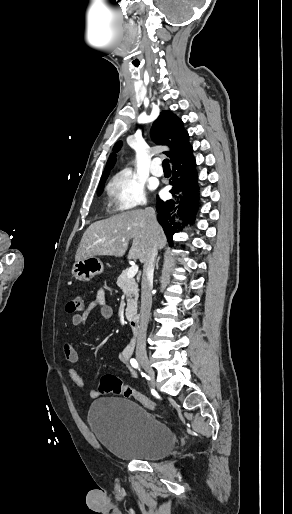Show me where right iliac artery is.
<instances>
[{
	"instance_id": "82829eb1",
	"label": "right iliac artery",
	"mask_w": 292,
	"mask_h": 514,
	"mask_svg": "<svg viewBox=\"0 0 292 514\" xmlns=\"http://www.w3.org/2000/svg\"><path fill=\"white\" fill-rule=\"evenodd\" d=\"M130 364L132 365V367L139 369V364L136 359H134V358L130 359ZM142 376L146 377V375L144 373H142Z\"/></svg>"
}]
</instances>
